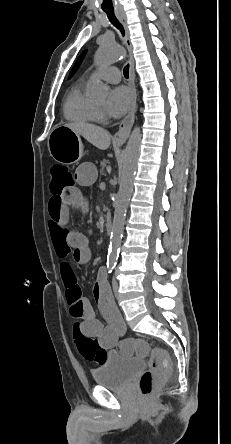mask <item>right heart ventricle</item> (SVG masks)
Returning <instances> with one entry per match:
<instances>
[{"instance_id":"1","label":"right heart ventricle","mask_w":231,"mask_h":444,"mask_svg":"<svg viewBox=\"0 0 231 444\" xmlns=\"http://www.w3.org/2000/svg\"><path fill=\"white\" fill-rule=\"evenodd\" d=\"M64 116L78 123H91L99 120L98 109L84 94V83H78L68 93L64 103Z\"/></svg>"}]
</instances>
